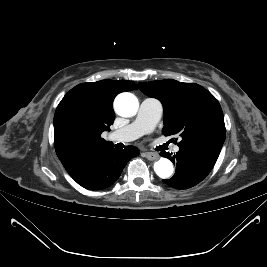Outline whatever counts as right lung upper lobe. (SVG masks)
<instances>
[{"mask_svg":"<svg viewBox=\"0 0 267 267\" xmlns=\"http://www.w3.org/2000/svg\"><path fill=\"white\" fill-rule=\"evenodd\" d=\"M135 89L133 81L101 80L81 83L63 97L54 116V146L64 167L89 150L111 145L101 134L113 124V100Z\"/></svg>","mask_w":267,"mask_h":267,"instance_id":"right-lung-upper-lobe-1","label":"right lung upper lobe"}]
</instances>
